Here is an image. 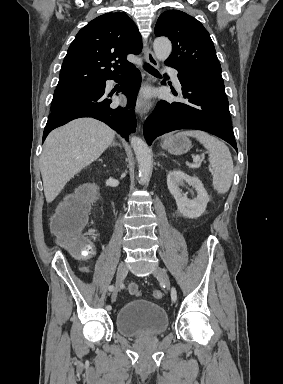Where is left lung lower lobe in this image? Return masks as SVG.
I'll list each match as a JSON object with an SVG mask.
<instances>
[{
    "instance_id": "obj_1",
    "label": "left lung lower lobe",
    "mask_w": 283,
    "mask_h": 384,
    "mask_svg": "<svg viewBox=\"0 0 283 384\" xmlns=\"http://www.w3.org/2000/svg\"><path fill=\"white\" fill-rule=\"evenodd\" d=\"M186 103L161 100L144 124L148 144L164 133L178 129H196L216 135L237 145L231 125L224 84L199 80L178 73Z\"/></svg>"
}]
</instances>
